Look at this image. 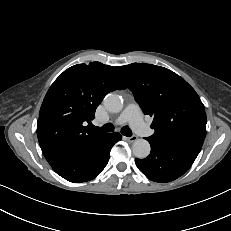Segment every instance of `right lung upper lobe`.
Segmentation results:
<instances>
[{
	"mask_svg": "<svg viewBox=\"0 0 231 231\" xmlns=\"http://www.w3.org/2000/svg\"><path fill=\"white\" fill-rule=\"evenodd\" d=\"M118 67L100 62L65 70L49 88L39 112L37 137L50 165L84 152L106 133L86 126L105 95L126 87Z\"/></svg>",
	"mask_w": 231,
	"mask_h": 231,
	"instance_id": "obj_1",
	"label": "right lung upper lobe"
}]
</instances>
